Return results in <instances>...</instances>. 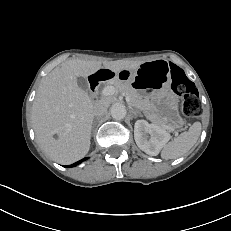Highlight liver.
Instances as JSON below:
<instances>
[{"mask_svg": "<svg viewBox=\"0 0 231 231\" xmlns=\"http://www.w3.org/2000/svg\"><path fill=\"white\" fill-rule=\"evenodd\" d=\"M141 63L73 59L52 70L43 78L32 106L33 128L40 148L60 164H71L83 158L90 148L95 103L78 86L77 78L87 77L102 67L115 74L123 70L135 71ZM102 101L110 103L109 99Z\"/></svg>", "mask_w": 231, "mask_h": 231, "instance_id": "liver-1", "label": "liver"}]
</instances>
